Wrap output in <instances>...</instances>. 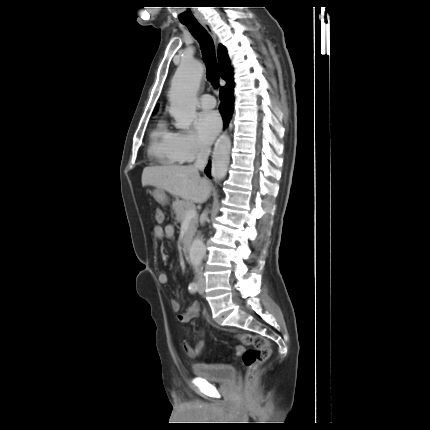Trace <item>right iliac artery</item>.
<instances>
[{
    "label": "right iliac artery",
    "mask_w": 430,
    "mask_h": 430,
    "mask_svg": "<svg viewBox=\"0 0 430 430\" xmlns=\"http://www.w3.org/2000/svg\"><path fill=\"white\" fill-rule=\"evenodd\" d=\"M188 290L190 291V293H195L198 290L197 282H191L188 286Z\"/></svg>",
    "instance_id": "1"
}]
</instances>
